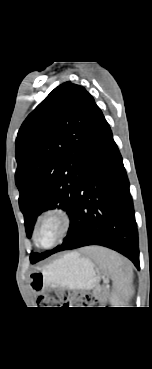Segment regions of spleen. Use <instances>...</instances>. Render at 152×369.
<instances>
[{"label":"spleen","mask_w":152,"mask_h":369,"mask_svg":"<svg viewBox=\"0 0 152 369\" xmlns=\"http://www.w3.org/2000/svg\"><path fill=\"white\" fill-rule=\"evenodd\" d=\"M93 256L98 260L100 267L111 276L113 289L119 297L127 300L132 273L129 263L116 252L104 248H96Z\"/></svg>","instance_id":"obj_1"}]
</instances>
